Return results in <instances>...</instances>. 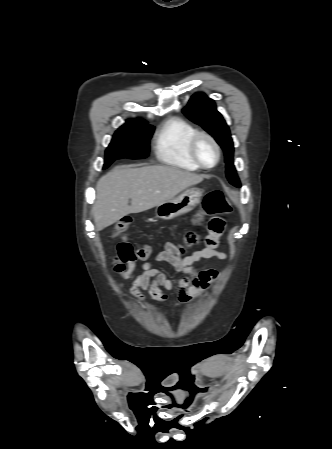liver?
<instances>
[{
	"label": "liver",
	"mask_w": 332,
	"mask_h": 449,
	"mask_svg": "<svg viewBox=\"0 0 332 449\" xmlns=\"http://www.w3.org/2000/svg\"><path fill=\"white\" fill-rule=\"evenodd\" d=\"M203 179V175L167 165L117 166L97 183L92 207L96 228L103 230L130 213H140L169 201Z\"/></svg>",
	"instance_id": "liver-1"
}]
</instances>
